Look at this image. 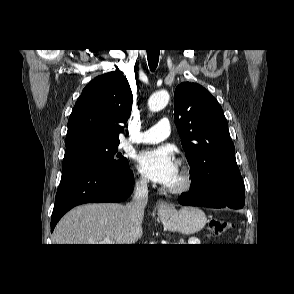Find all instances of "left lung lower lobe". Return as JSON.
Listing matches in <instances>:
<instances>
[{"label": "left lung lower lobe", "mask_w": 294, "mask_h": 294, "mask_svg": "<svg viewBox=\"0 0 294 294\" xmlns=\"http://www.w3.org/2000/svg\"><path fill=\"white\" fill-rule=\"evenodd\" d=\"M178 200L187 206L241 209L245 204L244 182L241 175L216 177L205 191L191 188Z\"/></svg>", "instance_id": "left-lung-lower-lobe-1"}]
</instances>
